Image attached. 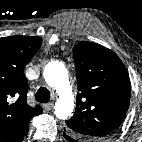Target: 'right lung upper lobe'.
Here are the masks:
<instances>
[{
  "label": "right lung upper lobe",
  "instance_id": "1",
  "mask_svg": "<svg viewBox=\"0 0 142 142\" xmlns=\"http://www.w3.org/2000/svg\"><path fill=\"white\" fill-rule=\"evenodd\" d=\"M35 36L0 38V142H21L33 116L42 107L27 104L28 82L24 68L40 48Z\"/></svg>",
  "mask_w": 142,
  "mask_h": 142
}]
</instances>
